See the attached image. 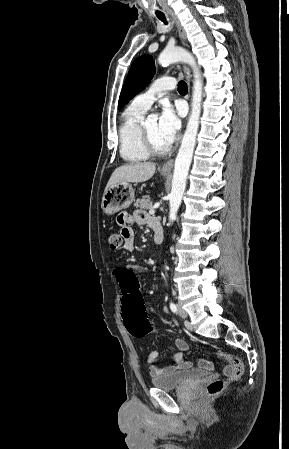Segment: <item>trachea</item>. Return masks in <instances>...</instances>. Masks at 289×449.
Masks as SVG:
<instances>
[{
    "label": "trachea",
    "instance_id": "trachea-1",
    "mask_svg": "<svg viewBox=\"0 0 289 449\" xmlns=\"http://www.w3.org/2000/svg\"><path fill=\"white\" fill-rule=\"evenodd\" d=\"M156 16L164 23L167 24V20L164 14L157 13ZM178 91L180 93H186L187 92V84L184 81H180L178 83Z\"/></svg>",
    "mask_w": 289,
    "mask_h": 449
}]
</instances>
